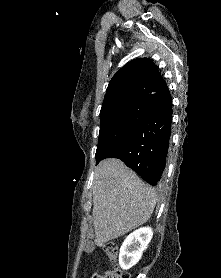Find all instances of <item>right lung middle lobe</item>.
Segmentation results:
<instances>
[{
    "mask_svg": "<svg viewBox=\"0 0 221 278\" xmlns=\"http://www.w3.org/2000/svg\"><path fill=\"white\" fill-rule=\"evenodd\" d=\"M151 112L152 109L147 103L133 102L101 114L96 162L130 134Z\"/></svg>",
    "mask_w": 221,
    "mask_h": 278,
    "instance_id": "1",
    "label": "right lung middle lobe"
}]
</instances>
